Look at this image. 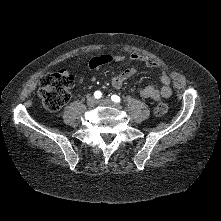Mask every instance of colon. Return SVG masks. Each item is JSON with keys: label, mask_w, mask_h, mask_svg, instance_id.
Segmentation results:
<instances>
[{"label": "colon", "mask_w": 221, "mask_h": 221, "mask_svg": "<svg viewBox=\"0 0 221 221\" xmlns=\"http://www.w3.org/2000/svg\"><path fill=\"white\" fill-rule=\"evenodd\" d=\"M73 82L74 77L62 70L59 73L46 75L40 81L38 96L47 109L59 110L70 101V88L73 86ZM167 110L168 107L165 103H159L154 108V114L162 117Z\"/></svg>", "instance_id": "1"}]
</instances>
